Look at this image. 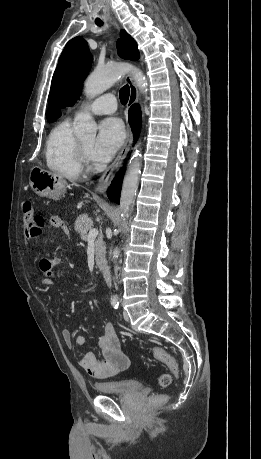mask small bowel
<instances>
[{"label": "small bowel", "mask_w": 261, "mask_h": 459, "mask_svg": "<svg viewBox=\"0 0 261 459\" xmlns=\"http://www.w3.org/2000/svg\"><path fill=\"white\" fill-rule=\"evenodd\" d=\"M46 226L60 228L64 231L67 230L65 222L59 216H51ZM40 234L41 232L34 233L31 240L27 239L26 234L25 237L28 241H35ZM55 262H57L56 258L53 260L43 259L40 261L39 266L43 273L41 283L46 288H52L55 285L52 275V265ZM62 337L68 347H73V337L67 328L62 330ZM75 343L77 346L84 349V354L79 360L80 367L94 378L101 379L114 376L130 366V359L123 351L120 339L112 323H105L103 326V335L100 339V350L102 354L100 359H97L91 351L87 350V340L84 336L76 337Z\"/></svg>", "instance_id": "1"}]
</instances>
